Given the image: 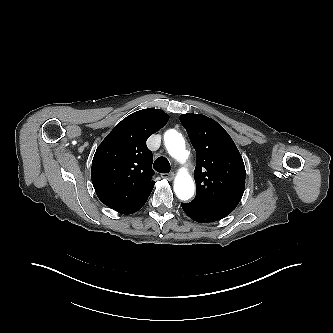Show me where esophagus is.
Wrapping results in <instances>:
<instances>
[{
  "label": "esophagus",
  "instance_id": "esophagus-1",
  "mask_svg": "<svg viewBox=\"0 0 333 333\" xmlns=\"http://www.w3.org/2000/svg\"><path fill=\"white\" fill-rule=\"evenodd\" d=\"M174 175L175 174L173 172H171V173H162L161 177L164 178V179H167V180L171 181V180H173Z\"/></svg>",
  "mask_w": 333,
  "mask_h": 333
}]
</instances>
